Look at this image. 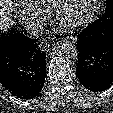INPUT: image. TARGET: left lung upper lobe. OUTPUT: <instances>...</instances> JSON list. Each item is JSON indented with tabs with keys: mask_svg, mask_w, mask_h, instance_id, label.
<instances>
[{
	"mask_svg": "<svg viewBox=\"0 0 113 113\" xmlns=\"http://www.w3.org/2000/svg\"><path fill=\"white\" fill-rule=\"evenodd\" d=\"M106 19H113V0L106 1L105 13L102 17H100V19H98V21H104Z\"/></svg>",
	"mask_w": 113,
	"mask_h": 113,
	"instance_id": "5c2ea615",
	"label": "left lung upper lobe"
}]
</instances>
